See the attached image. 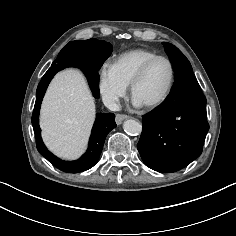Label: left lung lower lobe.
<instances>
[{"label": "left lung lower lobe", "mask_w": 236, "mask_h": 236, "mask_svg": "<svg viewBox=\"0 0 236 236\" xmlns=\"http://www.w3.org/2000/svg\"><path fill=\"white\" fill-rule=\"evenodd\" d=\"M208 130L206 98L194 73L188 72L175 78L160 106L142 116L137 148L149 168L176 172L201 155Z\"/></svg>", "instance_id": "1"}]
</instances>
